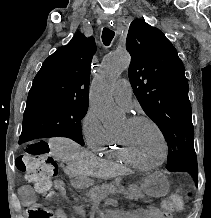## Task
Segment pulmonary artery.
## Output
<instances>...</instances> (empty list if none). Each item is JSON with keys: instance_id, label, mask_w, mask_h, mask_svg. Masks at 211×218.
I'll list each match as a JSON object with an SVG mask.
<instances>
[{"instance_id": "obj_1", "label": "pulmonary artery", "mask_w": 211, "mask_h": 218, "mask_svg": "<svg viewBox=\"0 0 211 218\" xmlns=\"http://www.w3.org/2000/svg\"><path fill=\"white\" fill-rule=\"evenodd\" d=\"M127 85H129V80L121 79L116 82L113 87V95L119 104L129 108L132 97V89Z\"/></svg>"}]
</instances>
